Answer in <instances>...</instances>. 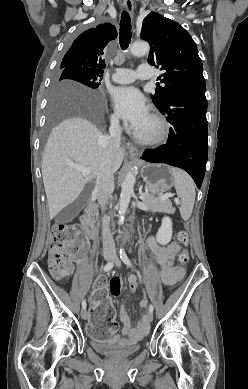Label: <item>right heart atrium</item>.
<instances>
[{
	"mask_svg": "<svg viewBox=\"0 0 248 389\" xmlns=\"http://www.w3.org/2000/svg\"><path fill=\"white\" fill-rule=\"evenodd\" d=\"M111 122H112L113 126L118 127L119 126V117L116 114H112Z\"/></svg>",
	"mask_w": 248,
	"mask_h": 389,
	"instance_id": "d8ad5b80",
	"label": "right heart atrium"
}]
</instances>
